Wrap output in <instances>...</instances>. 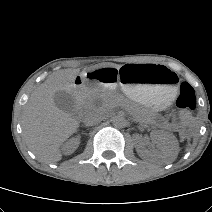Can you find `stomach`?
<instances>
[{"label": "stomach", "instance_id": "obj_1", "mask_svg": "<svg viewBox=\"0 0 212 212\" xmlns=\"http://www.w3.org/2000/svg\"><path fill=\"white\" fill-rule=\"evenodd\" d=\"M83 75L87 81L105 82L114 90L124 92L130 99L153 110L169 105L177 90L175 73L162 65H103L87 68Z\"/></svg>", "mask_w": 212, "mask_h": 212}]
</instances>
